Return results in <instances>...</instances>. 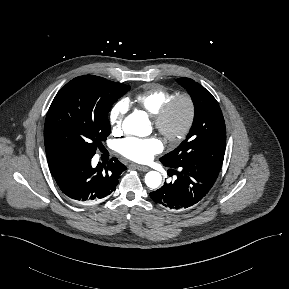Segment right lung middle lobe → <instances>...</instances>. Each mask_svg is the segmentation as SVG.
I'll return each mask as SVG.
<instances>
[{"instance_id": "obj_1", "label": "right lung middle lobe", "mask_w": 289, "mask_h": 289, "mask_svg": "<svg viewBox=\"0 0 289 289\" xmlns=\"http://www.w3.org/2000/svg\"><path fill=\"white\" fill-rule=\"evenodd\" d=\"M130 86L84 75L68 82L48 110L44 140L48 163L94 155L110 134L108 112Z\"/></svg>"}]
</instances>
